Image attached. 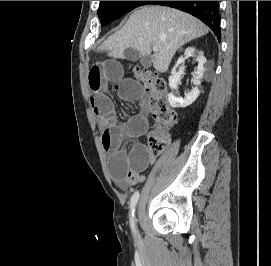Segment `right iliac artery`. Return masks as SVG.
Instances as JSON below:
<instances>
[{
  "mask_svg": "<svg viewBox=\"0 0 271 266\" xmlns=\"http://www.w3.org/2000/svg\"><path fill=\"white\" fill-rule=\"evenodd\" d=\"M138 199H139V192L137 191L131 197V202H130V208H131V219H130V223H131V227H132L133 230L135 228L134 212H135V206L137 204Z\"/></svg>",
  "mask_w": 271,
  "mask_h": 266,
  "instance_id": "obj_1",
  "label": "right iliac artery"
}]
</instances>
